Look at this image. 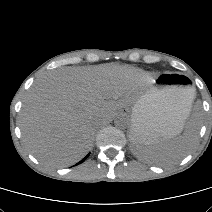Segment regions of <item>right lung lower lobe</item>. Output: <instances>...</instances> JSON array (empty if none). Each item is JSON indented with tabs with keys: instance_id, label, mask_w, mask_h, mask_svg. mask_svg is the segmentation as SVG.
I'll return each mask as SVG.
<instances>
[{
	"instance_id": "98d812e1",
	"label": "right lung lower lobe",
	"mask_w": 212,
	"mask_h": 212,
	"mask_svg": "<svg viewBox=\"0 0 212 212\" xmlns=\"http://www.w3.org/2000/svg\"><path fill=\"white\" fill-rule=\"evenodd\" d=\"M87 157H88V155L83 160H81L78 164L82 163Z\"/></svg>"
}]
</instances>
